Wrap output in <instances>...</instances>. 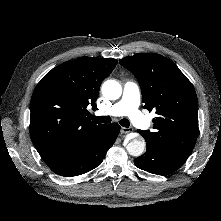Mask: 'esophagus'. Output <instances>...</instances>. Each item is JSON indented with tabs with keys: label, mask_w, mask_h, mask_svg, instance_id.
<instances>
[{
	"label": "esophagus",
	"mask_w": 221,
	"mask_h": 221,
	"mask_svg": "<svg viewBox=\"0 0 221 221\" xmlns=\"http://www.w3.org/2000/svg\"><path fill=\"white\" fill-rule=\"evenodd\" d=\"M131 131H132L131 128H126V127H121V129H120V132H121L122 134H126V133H129V132H131Z\"/></svg>",
	"instance_id": "esophagus-1"
}]
</instances>
